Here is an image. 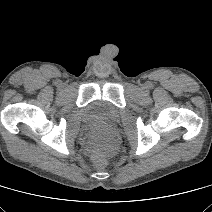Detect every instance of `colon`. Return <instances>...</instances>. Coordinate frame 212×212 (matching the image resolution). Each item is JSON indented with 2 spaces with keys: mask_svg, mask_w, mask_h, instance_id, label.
Returning <instances> with one entry per match:
<instances>
[{
  "mask_svg": "<svg viewBox=\"0 0 212 212\" xmlns=\"http://www.w3.org/2000/svg\"><path fill=\"white\" fill-rule=\"evenodd\" d=\"M104 145L102 143H97L92 147V152L99 158L104 154Z\"/></svg>",
  "mask_w": 212,
  "mask_h": 212,
  "instance_id": "1",
  "label": "colon"
}]
</instances>
